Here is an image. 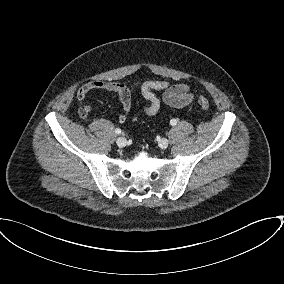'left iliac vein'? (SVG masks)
Segmentation results:
<instances>
[{
  "label": "left iliac vein",
  "mask_w": 284,
  "mask_h": 284,
  "mask_svg": "<svg viewBox=\"0 0 284 284\" xmlns=\"http://www.w3.org/2000/svg\"><path fill=\"white\" fill-rule=\"evenodd\" d=\"M168 145H169V141H168V139H166V138H162V139L159 141V147H160L161 149H166V148L168 147Z\"/></svg>",
  "instance_id": "1"
}]
</instances>
